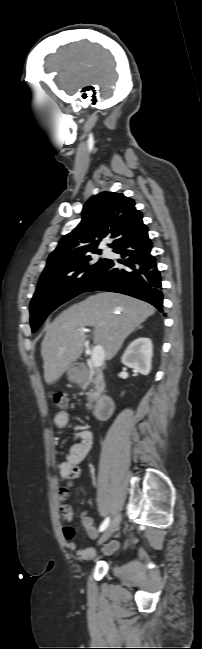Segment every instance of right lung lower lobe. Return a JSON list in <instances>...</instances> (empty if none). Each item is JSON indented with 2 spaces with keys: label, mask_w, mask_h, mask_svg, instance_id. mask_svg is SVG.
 Instances as JSON below:
<instances>
[{
  "label": "right lung lower lobe",
  "mask_w": 202,
  "mask_h": 649,
  "mask_svg": "<svg viewBox=\"0 0 202 649\" xmlns=\"http://www.w3.org/2000/svg\"><path fill=\"white\" fill-rule=\"evenodd\" d=\"M148 229L132 235L115 247L126 260L120 263L127 268L120 269L117 262L108 260L86 291H110L136 297L149 302L163 311V294L160 272L155 258L151 255V241Z\"/></svg>",
  "instance_id": "98d812e1"
}]
</instances>
